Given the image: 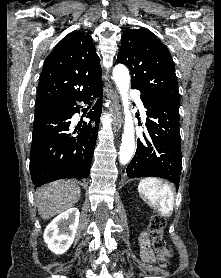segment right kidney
<instances>
[{"mask_svg":"<svg viewBox=\"0 0 221 278\" xmlns=\"http://www.w3.org/2000/svg\"><path fill=\"white\" fill-rule=\"evenodd\" d=\"M79 215L77 208H70L46 227L43 238L53 253L63 254L71 247L78 228Z\"/></svg>","mask_w":221,"mask_h":278,"instance_id":"right-kidney-1","label":"right kidney"}]
</instances>
